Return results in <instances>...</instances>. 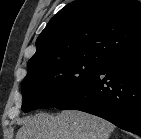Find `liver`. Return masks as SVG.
Listing matches in <instances>:
<instances>
[{
	"label": "liver",
	"mask_w": 141,
	"mask_h": 139,
	"mask_svg": "<svg viewBox=\"0 0 141 139\" xmlns=\"http://www.w3.org/2000/svg\"><path fill=\"white\" fill-rule=\"evenodd\" d=\"M22 123L15 139H109L115 128L98 116L75 110L38 113Z\"/></svg>",
	"instance_id": "liver-1"
}]
</instances>
